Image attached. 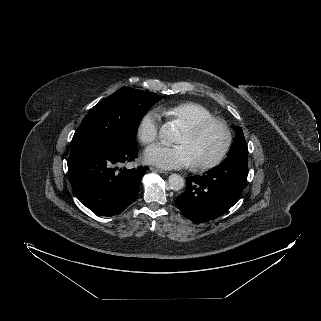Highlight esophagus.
Masks as SVG:
<instances>
[{"mask_svg":"<svg viewBox=\"0 0 321 321\" xmlns=\"http://www.w3.org/2000/svg\"><path fill=\"white\" fill-rule=\"evenodd\" d=\"M150 170L153 171V172L161 173V174H168L167 171H164V170H161V169H157V168H154V167H150Z\"/></svg>","mask_w":321,"mask_h":321,"instance_id":"esophagus-1","label":"esophagus"}]
</instances>
